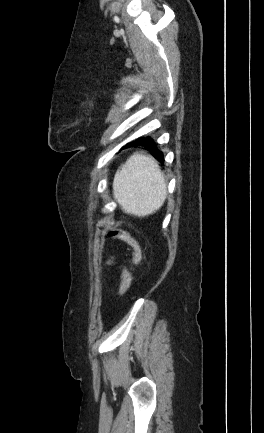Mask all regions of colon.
Returning <instances> with one entry per match:
<instances>
[{"mask_svg": "<svg viewBox=\"0 0 264 433\" xmlns=\"http://www.w3.org/2000/svg\"><path fill=\"white\" fill-rule=\"evenodd\" d=\"M108 234L110 237L121 239L127 243L132 250L131 257L122 266L121 283L119 288V296L122 297L126 294L131 284L130 267L137 265L141 260V248L138 242L130 234L118 229L116 226L111 228ZM111 262V260H108L107 264H110Z\"/></svg>", "mask_w": 264, "mask_h": 433, "instance_id": "colon-1", "label": "colon"}]
</instances>
